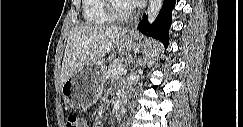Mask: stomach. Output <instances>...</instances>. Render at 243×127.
Instances as JSON below:
<instances>
[{"instance_id": "stomach-1", "label": "stomach", "mask_w": 243, "mask_h": 127, "mask_svg": "<svg viewBox=\"0 0 243 127\" xmlns=\"http://www.w3.org/2000/svg\"><path fill=\"white\" fill-rule=\"evenodd\" d=\"M138 41L137 34L124 35L117 46L121 52H130L138 49ZM105 79L106 66L103 60L85 65L62 84L61 94L65 103L77 109L92 106L100 96Z\"/></svg>"}]
</instances>
